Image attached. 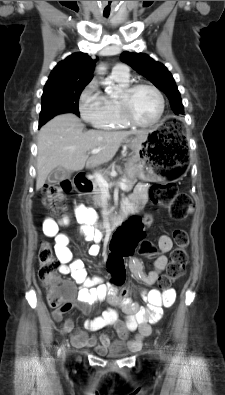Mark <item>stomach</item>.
I'll use <instances>...</instances> for the list:
<instances>
[{
  "label": "stomach",
  "instance_id": "stomach-1",
  "mask_svg": "<svg viewBox=\"0 0 225 395\" xmlns=\"http://www.w3.org/2000/svg\"><path fill=\"white\" fill-rule=\"evenodd\" d=\"M157 129L152 130L145 139L135 136L128 140L134 154L126 164V173L130 178L138 177L149 182L177 179L183 176V159L167 154L160 142Z\"/></svg>",
  "mask_w": 225,
  "mask_h": 395
}]
</instances>
